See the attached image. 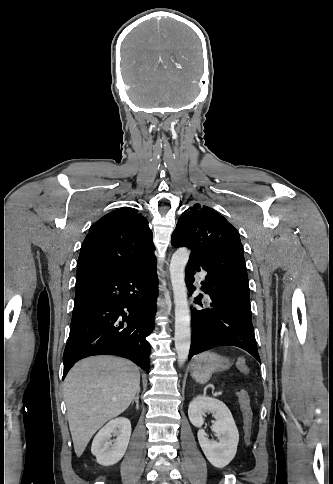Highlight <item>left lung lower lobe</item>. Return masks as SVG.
Returning <instances> with one entry per match:
<instances>
[{"label":"left lung lower lobe","instance_id":"obj_1","mask_svg":"<svg viewBox=\"0 0 333 484\" xmlns=\"http://www.w3.org/2000/svg\"><path fill=\"white\" fill-rule=\"evenodd\" d=\"M176 244V248L184 246L178 241ZM200 269L208 273L201 289L210 296L212 307L192 310L189 359L211 348L229 345L246 350L261 362L251 320L243 251L234 241L216 243L200 252L192 251L185 278L189 289L194 288L193 276L195 270ZM201 297L198 295L194 301L202 307Z\"/></svg>","mask_w":333,"mask_h":484}]
</instances>
